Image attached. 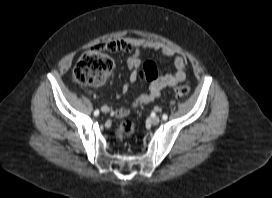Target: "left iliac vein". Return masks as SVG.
<instances>
[{
	"mask_svg": "<svg viewBox=\"0 0 272 198\" xmlns=\"http://www.w3.org/2000/svg\"><path fill=\"white\" fill-rule=\"evenodd\" d=\"M150 122L153 124V125H157L159 122H160V118L157 117V116H153L150 118Z\"/></svg>",
	"mask_w": 272,
	"mask_h": 198,
	"instance_id": "obj_1",
	"label": "left iliac vein"
}]
</instances>
